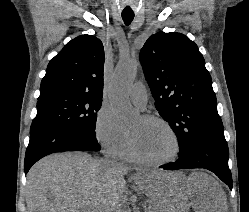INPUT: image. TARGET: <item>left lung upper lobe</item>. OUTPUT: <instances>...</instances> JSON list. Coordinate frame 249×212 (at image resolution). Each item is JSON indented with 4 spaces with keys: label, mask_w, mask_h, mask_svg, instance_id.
<instances>
[{
    "label": "left lung upper lobe",
    "mask_w": 249,
    "mask_h": 212,
    "mask_svg": "<svg viewBox=\"0 0 249 212\" xmlns=\"http://www.w3.org/2000/svg\"><path fill=\"white\" fill-rule=\"evenodd\" d=\"M159 114L175 132L179 154L204 135L223 133L216 96L197 45L181 33H157L139 54Z\"/></svg>",
    "instance_id": "5c2ea615"
}]
</instances>
